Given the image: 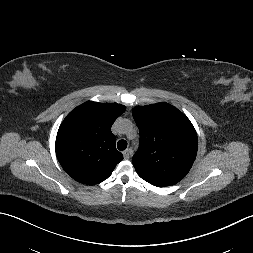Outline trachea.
I'll use <instances>...</instances> for the list:
<instances>
[{"label": "trachea", "instance_id": "trachea-1", "mask_svg": "<svg viewBox=\"0 0 253 253\" xmlns=\"http://www.w3.org/2000/svg\"><path fill=\"white\" fill-rule=\"evenodd\" d=\"M117 148L120 151L125 150L127 148V142L125 140H119L118 143H117Z\"/></svg>", "mask_w": 253, "mask_h": 253}]
</instances>
